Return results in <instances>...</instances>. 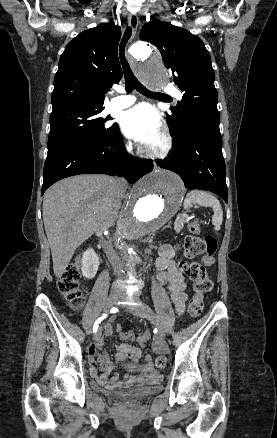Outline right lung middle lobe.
Returning a JSON list of instances; mask_svg holds the SVG:
<instances>
[{
	"label": "right lung middle lobe",
	"instance_id": "obj_1",
	"mask_svg": "<svg viewBox=\"0 0 277 438\" xmlns=\"http://www.w3.org/2000/svg\"><path fill=\"white\" fill-rule=\"evenodd\" d=\"M103 111L78 110L70 114H54L50 116V132L48 153L61 148L92 142H100L105 137L114 134L118 125H108L109 117L99 114Z\"/></svg>",
	"mask_w": 277,
	"mask_h": 438
}]
</instances>
